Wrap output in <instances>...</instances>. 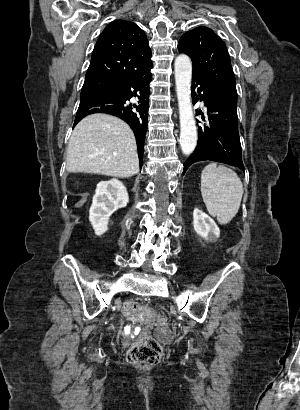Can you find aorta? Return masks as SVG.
Masks as SVG:
<instances>
[{
    "label": "aorta",
    "mask_w": 300,
    "mask_h": 410,
    "mask_svg": "<svg viewBox=\"0 0 300 410\" xmlns=\"http://www.w3.org/2000/svg\"><path fill=\"white\" fill-rule=\"evenodd\" d=\"M175 83L180 115V146L190 155L197 144V130L191 102L192 63L185 54L175 59Z\"/></svg>",
    "instance_id": "1"
}]
</instances>
